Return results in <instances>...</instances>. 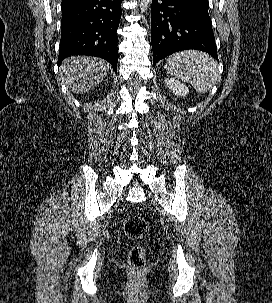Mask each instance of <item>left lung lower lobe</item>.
<instances>
[{
  "label": "left lung lower lobe",
  "mask_w": 272,
  "mask_h": 303,
  "mask_svg": "<svg viewBox=\"0 0 272 303\" xmlns=\"http://www.w3.org/2000/svg\"><path fill=\"white\" fill-rule=\"evenodd\" d=\"M208 0H152L153 65L170 54L198 49L218 59Z\"/></svg>",
  "instance_id": "left-lung-lower-lobe-1"
}]
</instances>
